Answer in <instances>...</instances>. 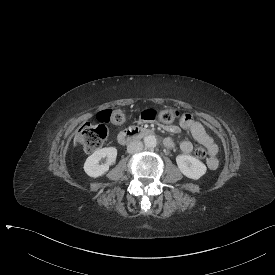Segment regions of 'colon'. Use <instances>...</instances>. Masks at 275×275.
<instances>
[{"label": "colon", "mask_w": 275, "mask_h": 275, "mask_svg": "<svg viewBox=\"0 0 275 275\" xmlns=\"http://www.w3.org/2000/svg\"><path fill=\"white\" fill-rule=\"evenodd\" d=\"M175 112L176 111L172 109L157 111L151 108L144 110L142 117L146 120H157L162 124H169L177 118ZM98 120L102 124H83L78 129L77 139L83 149L88 153L96 152L104 145L108 136V130L105 128V124H121L125 120V115L121 110H102L99 113ZM195 155L199 159H204L207 156V151L204 147H197L195 149Z\"/></svg>", "instance_id": "obj_1"}]
</instances>
